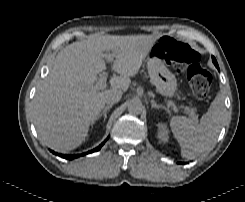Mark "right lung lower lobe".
Returning a JSON list of instances; mask_svg holds the SVG:
<instances>
[{
    "label": "right lung lower lobe",
    "instance_id": "1",
    "mask_svg": "<svg viewBox=\"0 0 245 202\" xmlns=\"http://www.w3.org/2000/svg\"><path fill=\"white\" fill-rule=\"evenodd\" d=\"M106 141V140H105ZM105 141L103 143H101L97 148L89 151V152H86L84 154H89V153H92V152H96L98 150H100V148L103 146V144L105 143ZM53 152V151H52ZM54 154H57L55 152H53ZM84 154H77V155H63V154H57L58 156L62 157V158H65V159H69V160H72L74 158H77L79 156H83Z\"/></svg>",
    "mask_w": 245,
    "mask_h": 202
}]
</instances>
